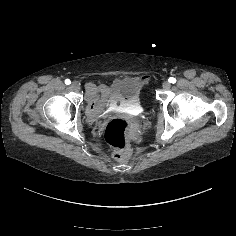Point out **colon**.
I'll use <instances>...</instances> for the list:
<instances>
[{
	"mask_svg": "<svg viewBox=\"0 0 236 236\" xmlns=\"http://www.w3.org/2000/svg\"><path fill=\"white\" fill-rule=\"evenodd\" d=\"M130 123L123 117H114L106 125L105 140L115 149L114 159L124 162L131 155L129 144Z\"/></svg>",
	"mask_w": 236,
	"mask_h": 236,
	"instance_id": "5ec220e1",
	"label": "colon"
}]
</instances>
